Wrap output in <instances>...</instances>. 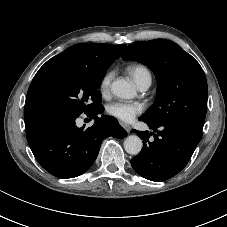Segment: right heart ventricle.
<instances>
[{
  "instance_id": "e07e8e85",
  "label": "right heart ventricle",
  "mask_w": 227,
  "mask_h": 227,
  "mask_svg": "<svg viewBox=\"0 0 227 227\" xmlns=\"http://www.w3.org/2000/svg\"><path fill=\"white\" fill-rule=\"evenodd\" d=\"M128 73L134 80V82L139 86L144 81H150L151 82V72L150 70L141 64L132 65L128 68Z\"/></svg>"
}]
</instances>
